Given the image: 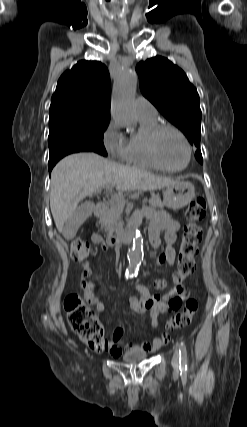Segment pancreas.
I'll use <instances>...</instances> for the list:
<instances>
[{
	"label": "pancreas",
	"mask_w": 247,
	"mask_h": 427,
	"mask_svg": "<svg viewBox=\"0 0 247 427\" xmlns=\"http://www.w3.org/2000/svg\"><path fill=\"white\" fill-rule=\"evenodd\" d=\"M149 204L153 208L163 207V203L158 195L152 194ZM125 206L124 202L112 200L100 214L101 228L112 235L117 229L122 227L121 214Z\"/></svg>",
	"instance_id": "cf45deb5"
}]
</instances>
